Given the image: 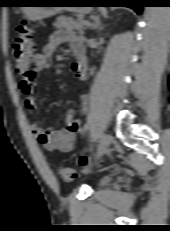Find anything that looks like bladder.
<instances>
[{
	"instance_id": "obj_1",
	"label": "bladder",
	"mask_w": 170,
	"mask_h": 231,
	"mask_svg": "<svg viewBox=\"0 0 170 231\" xmlns=\"http://www.w3.org/2000/svg\"><path fill=\"white\" fill-rule=\"evenodd\" d=\"M112 180V177L110 175L103 176L100 179V185H106Z\"/></svg>"
}]
</instances>
